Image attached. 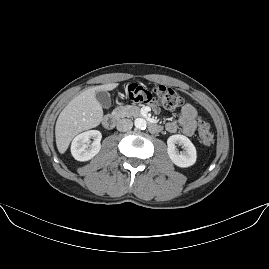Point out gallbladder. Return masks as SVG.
I'll return each mask as SVG.
<instances>
[{
  "label": "gallbladder",
  "mask_w": 269,
  "mask_h": 269,
  "mask_svg": "<svg viewBox=\"0 0 269 269\" xmlns=\"http://www.w3.org/2000/svg\"><path fill=\"white\" fill-rule=\"evenodd\" d=\"M97 101L101 104L103 107H109L110 106V95L107 91H98L95 95Z\"/></svg>",
  "instance_id": "gallbladder-1"
}]
</instances>
